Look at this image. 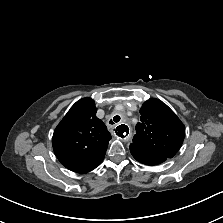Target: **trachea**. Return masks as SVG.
<instances>
[{
    "label": "trachea",
    "mask_w": 223,
    "mask_h": 223,
    "mask_svg": "<svg viewBox=\"0 0 223 223\" xmlns=\"http://www.w3.org/2000/svg\"><path fill=\"white\" fill-rule=\"evenodd\" d=\"M119 121H120V116L116 115V116H114L113 120L111 119V120L109 121V123H110V124H114V122L117 123V122H119Z\"/></svg>",
    "instance_id": "1"
}]
</instances>
